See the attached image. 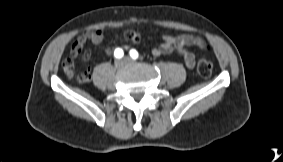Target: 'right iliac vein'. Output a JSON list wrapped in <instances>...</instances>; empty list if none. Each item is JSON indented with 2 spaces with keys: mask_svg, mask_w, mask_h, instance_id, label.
Masks as SVG:
<instances>
[{
  "mask_svg": "<svg viewBox=\"0 0 283 162\" xmlns=\"http://www.w3.org/2000/svg\"><path fill=\"white\" fill-rule=\"evenodd\" d=\"M125 65V62L123 60H119L115 62V68L116 69H122Z\"/></svg>",
  "mask_w": 283,
  "mask_h": 162,
  "instance_id": "obj_1",
  "label": "right iliac vein"
}]
</instances>
